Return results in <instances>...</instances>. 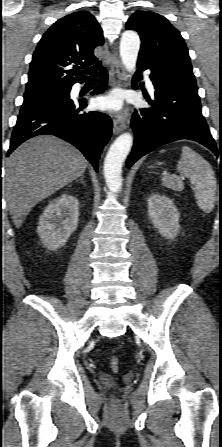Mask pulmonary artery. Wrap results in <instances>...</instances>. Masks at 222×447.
<instances>
[{
	"mask_svg": "<svg viewBox=\"0 0 222 447\" xmlns=\"http://www.w3.org/2000/svg\"><path fill=\"white\" fill-rule=\"evenodd\" d=\"M146 82H147V85H148L150 91H154L153 84L148 77H146Z\"/></svg>",
	"mask_w": 222,
	"mask_h": 447,
	"instance_id": "e3ab8cb5",
	"label": "pulmonary artery"
}]
</instances>
